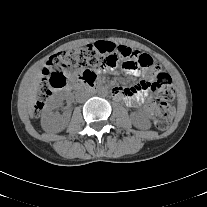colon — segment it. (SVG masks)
Returning <instances> with one entry per match:
<instances>
[{"mask_svg": "<svg viewBox=\"0 0 207 207\" xmlns=\"http://www.w3.org/2000/svg\"><path fill=\"white\" fill-rule=\"evenodd\" d=\"M157 61L153 55L143 51H134L129 47L115 45L111 42L98 41L84 47L61 51L54 54L47 64L46 77L41 84L35 111L39 110L48 98L50 88L66 86L67 79L62 69L69 66L80 68L96 67L101 69H114L118 65L123 68H141L144 74L150 75L156 71ZM93 76L94 73L85 72L83 77ZM156 94L155 125L160 130H165L171 124L174 108L170 102L175 97V89L171 76L165 71H158L155 80L150 84Z\"/></svg>", "mask_w": 207, "mask_h": 207, "instance_id": "5ec220e1", "label": "colon"}]
</instances>
